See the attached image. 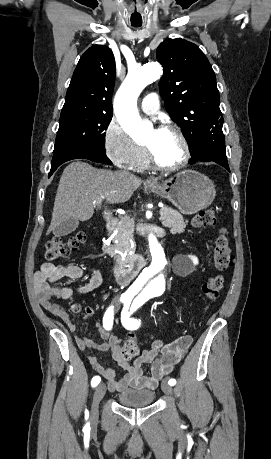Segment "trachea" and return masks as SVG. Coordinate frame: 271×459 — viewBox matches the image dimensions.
Listing matches in <instances>:
<instances>
[{"label": "trachea", "instance_id": "1", "mask_svg": "<svg viewBox=\"0 0 271 459\" xmlns=\"http://www.w3.org/2000/svg\"><path fill=\"white\" fill-rule=\"evenodd\" d=\"M133 27H141V25H132Z\"/></svg>", "mask_w": 271, "mask_h": 459}]
</instances>
